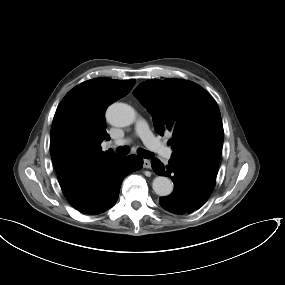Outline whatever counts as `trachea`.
Masks as SVG:
<instances>
[{"label": "trachea", "instance_id": "3493384b", "mask_svg": "<svg viewBox=\"0 0 285 285\" xmlns=\"http://www.w3.org/2000/svg\"><path fill=\"white\" fill-rule=\"evenodd\" d=\"M116 152H117V154L119 156H125V155L129 154L130 149L127 146H120V147L117 148ZM137 153H138L139 156H141V157H143L145 159H148V158H150L152 156V153L150 151H147V150H145L143 148H139L137 150Z\"/></svg>", "mask_w": 285, "mask_h": 285}]
</instances>
